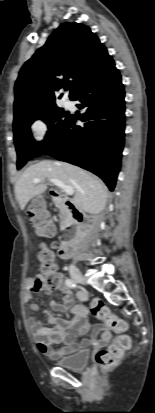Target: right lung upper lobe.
<instances>
[{
	"label": "right lung upper lobe",
	"instance_id": "obj_1",
	"mask_svg": "<svg viewBox=\"0 0 155 413\" xmlns=\"http://www.w3.org/2000/svg\"><path fill=\"white\" fill-rule=\"evenodd\" d=\"M114 66L106 47L89 27L75 22L61 24L19 72L14 123L56 107L54 91L67 85L68 79H72L69 97L73 100L84 86Z\"/></svg>",
	"mask_w": 155,
	"mask_h": 413
}]
</instances>
